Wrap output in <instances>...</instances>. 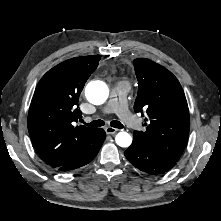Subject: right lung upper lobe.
<instances>
[{"label": "right lung upper lobe", "mask_w": 221, "mask_h": 221, "mask_svg": "<svg viewBox=\"0 0 221 221\" xmlns=\"http://www.w3.org/2000/svg\"><path fill=\"white\" fill-rule=\"evenodd\" d=\"M101 55L75 57L49 70L39 81L28 113L31 141L54 169L88 152L98 129L75 126L82 117L80 93Z\"/></svg>", "instance_id": "1"}]
</instances>
